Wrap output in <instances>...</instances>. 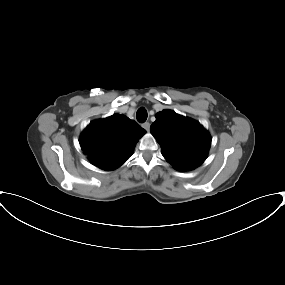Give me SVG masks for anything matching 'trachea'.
Wrapping results in <instances>:
<instances>
[{
	"instance_id": "trachea-1",
	"label": "trachea",
	"mask_w": 285,
	"mask_h": 285,
	"mask_svg": "<svg viewBox=\"0 0 285 285\" xmlns=\"http://www.w3.org/2000/svg\"><path fill=\"white\" fill-rule=\"evenodd\" d=\"M136 118L140 123H143L147 120V111L145 108H139L136 113Z\"/></svg>"
}]
</instances>
